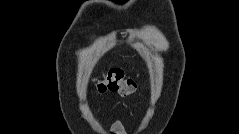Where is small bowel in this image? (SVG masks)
<instances>
[{
  "label": "small bowel",
  "instance_id": "small-bowel-1",
  "mask_svg": "<svg viewBox=\"0 0 239 134\" xmlns=\"http://www.w3.org/2000/svg\"><path fill=\"white\" fill-rule=\"evenodd\" d=\"M112 128L115 132L119 133V134H125V131L123 129V125L121 121H115L112 124Z\"/></svg>",
  "mask_w": 239,
  "mask_h": 134
}]
</instances>
